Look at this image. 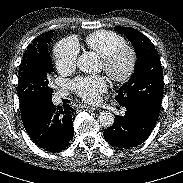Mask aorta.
I'll return each instance as SVG.
<instances>
[{
	"label": "aorta",
	"instance_id": "1",
	"mask_svg": "<svg viewBox=\"0 0 183 183\" xmlns=\"http://www.w3.org/2000/svg\"><path fill=\"white\" fill-rule=\"evenodd\" d=\"M78 68L84 73H96L100 71L98 57L94 52H85L77 62ZM98 121L104 127H110L114 123V115L110 111L99 113Z\"/></svg>",
	"mask_w": 183,
	"mask_h": 183
}]
</instances>
